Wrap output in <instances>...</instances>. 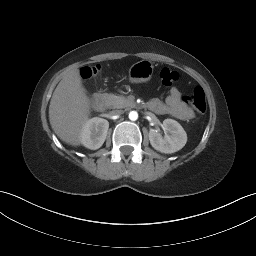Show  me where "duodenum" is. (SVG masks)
<instances>
[{
    "instance_id": "410a0bca",
    "label": "duodenum",
    "mask_w": 256,
    "mask_h": 256,
    "mask_svg": "<svg viewBox=\"0 0 256 256\" xmlns=\"http://www.w3.org/2000/svg\"><path fill=\"white\" fill-rule=\"evenodd\" d=\"M91 104L96 110L104 109L107 105V98L101 94H93L91 97Z\"/></svg>"
}]
</instances>
